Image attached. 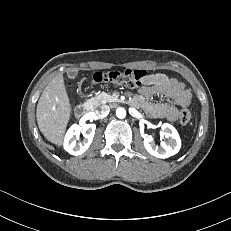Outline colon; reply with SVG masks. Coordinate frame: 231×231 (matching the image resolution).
I'll return each mask as SVG.
<instances>
[{
  "label": "colon",
  "instance_id": "5ec220e1",
  "mask_svg": "<svg viewBox=\"0 0 231 231\" xmlns=\"http://www.w3.org/2000/svg\"><path fill=\"white\" fill-rule=\"evenodd\" d=\"M147 76L144 70H121L109 72H96L93 80L96 83H107L124 88H136L144 83ZM191 113L188 109H182L179 114V121L182 125H187L191 121Z\"/></svg>",
  "mask_w": 231,
  "mask_h": 231
}]
</instances>
